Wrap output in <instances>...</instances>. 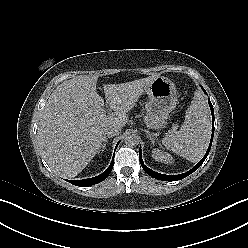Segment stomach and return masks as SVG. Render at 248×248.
Listing matches in <instances>:
<instances>
[{"label": "stomach", "instance_id": "stomach-1", "mask_svg": "<svg viewBox=\"0 0 248 248\" xmlns=\"http://www.w3.org/2000/svg\"><path fill=\"white\" fill-rule=\"evenodd\" d=\"M144 93L148 95L146 108V125L149 129H160L169 113L176 107L177 93L174 83L164 76H157Z\"/></svg>", "mask_w": 248, "mask_h": 248}]
</instances>
